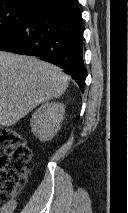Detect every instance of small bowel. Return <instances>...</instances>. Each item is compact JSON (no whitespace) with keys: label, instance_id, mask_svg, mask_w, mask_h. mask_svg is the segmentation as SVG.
<instances>
[{"label":"small bowel","instance_id":"1","mask_svg":"<svg viewBox=\"0 0 128 213\" xmlns=\"http://www.w3.org/2000/svg\"><path fill=\"white\" fill-rule=\"evenodd\" d=\"M17 207V203L14 200L0 204V213H14Z\"/></svg>","mask_w":128,"mask_h":213}]
</instances>
